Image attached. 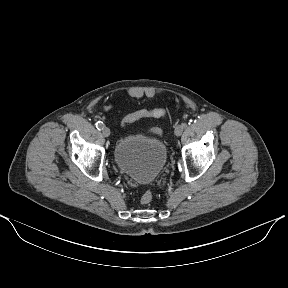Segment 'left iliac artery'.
Returning a JSON list of instances; mask_svg holds the SVG:
<instances>
[{"label": "left iliac artery", "mask_w": 288, "mask_h": 288, "mask_svg": "<svg viewBox=\"0 0 288 288\" xmlns=\"http://www.w3.org/2000/svg\"><path fill=\"white\" fill-rule=\"evenodd\" d=\"M179 127H180L181 129H182L183 127H186V123L181 124Z\"/></svg>", "instance_id": "left-iliac-artery-1"}]
</instances>
